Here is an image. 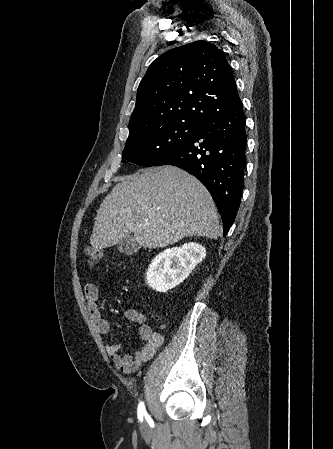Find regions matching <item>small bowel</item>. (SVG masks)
<instances>
[{
	"label": "small bowel",
	"instance_id": "small-bowel-1",
	"mask_svg": "<svg viewBox=\"0 0 333 449\" xmlns=\"http://www.w3.org/2000/svg\"><path fill=\"white\" fill-rule=\"evenodd\" d=\"M84 294L88 304L89 316L94 322L97 331L101 334H107L110 330V324L102 316L97 304L99 297L98 286L93 282L87 283L84 287ZM125 317L139 325L138 337L141 341L139 349L133 355L122 354L121 345L111 343L105 346V350L115 366L121 372L128 374L138 370L142 364L153 357L163 343V336L151 329L146 323V318L143 314L135 310H128L125 313Z\"/></svg>",
	"mask_w": 333,
	"mask_h": 449
}]
</instances>
